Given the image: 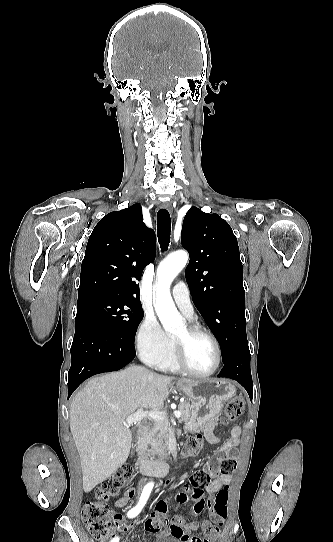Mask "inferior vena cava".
<instances>
[{"mask_svg": "<svg viewBox=\"0 0 333 542\" xmlns=\"http://www.w3.org/2000/svg\"><path fill=\"white\" fill-rule=\"evenodd\" d=\"M150 376H153V372H149ZM142 476H145L144 472H141ZM141 482H143V480H141ZM140 482V484H141ZM139 488H141V486H139Z\"/></svg>", "mask_w": 333, "mask_h": 542, "instance_id": "1", "label": "inferior vena cava"}]
</instances>
